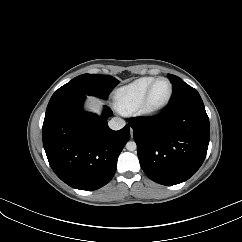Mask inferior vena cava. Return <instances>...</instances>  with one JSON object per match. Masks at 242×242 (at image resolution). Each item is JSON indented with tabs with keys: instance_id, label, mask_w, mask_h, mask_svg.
Instances as JSON below:
<instances>
[{
	"instance_id": "inferior-vena-cava-1",
	"label": "inferior vena cava",
	"mask_w": 242,
	"mask_h": 242,
	"mask_svg": "<svg viewBox=\"0 0 242 242\" xmlns=\"http://www.w3.org/2000/svg\"><path fill=\"white\" fill-rule=\"evenodd\" d=\"M112 130H120L125 126V121L122 118L114 117L108 122Z\"/></svg>"
}]
</instances>
